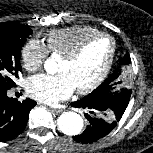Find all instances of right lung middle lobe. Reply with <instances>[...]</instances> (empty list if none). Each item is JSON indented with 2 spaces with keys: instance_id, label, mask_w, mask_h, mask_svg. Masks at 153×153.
Masks as SVG:
<instances>
[{
  "instance_id": "obj_1",
  "label": "right lung middle lobe",
  "mask_w": 153,
  "mask_h": 153,
  "mask_svg": "<svg viewBox=\"0 0 153 153\" xmlns=\"http://www.w3.org/2000/svg\"><path fill=\"white\" fill-rule=\"evenodd\" d=\"M32 30L16 23L0 24V88L10 89L21 71V49Z\"/></svg>"
}]
</instances>
